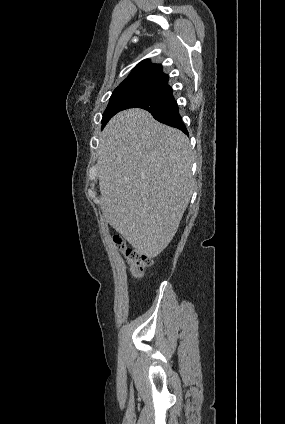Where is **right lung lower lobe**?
Segmentation results:
<instances>
[{
	"instance_id": "right-lung-lower-lobe-1",
	"label": "right lung lower lobe",
	"mask_w": 285,
	"mask_h": 424,
	"mask_svg": "<svg viewBox=\"0 0 285 424\" xmlns=\"http://www.w3.org/2000/svg\"><path fill=\"white\" fill-rule=\"evenodd\" d=\"M129 108L145 109L159 122L188 134L179 114L178 105L173 97L172 88L168 84L150 95L134 100L126 107V109Z\"/></svg>"
}]
</instances>
